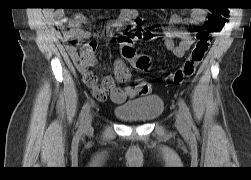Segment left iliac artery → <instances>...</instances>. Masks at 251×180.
<instances>
[{
  "label": "left iliac artery",
  "instance_id": "1",
  "mask_svg": "<svg viewBox=\"0 0 251 180\" xmlns=\"http://www.w3.org/2000/svg\"><path fill=\"white\" fill-rule=\"evenodd\" d=\"M179 108H180L181 112L183 113V115L185 116V119H186L188 125H191L192 124V117H191L189 108L187 107L184 100L181 98L179 99Z\"/></svg>",
  "mask_w": 251,
  "mask_h": 180
}]
</instances>
